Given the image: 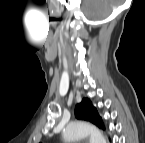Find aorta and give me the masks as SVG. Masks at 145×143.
Here are the masks:
<instances>
[{"label":"aorta","instance_id":"aorta-1","mask_svg":"<svg viewBox=\"0 0 145 143\" xmlns=\"http://www.w3.org/2000/svg\"><path fill=\"white\" fill-rule=\"evenodd\" d=\"M86 136L90 137V143H106L102 132L95 126L83 121L69 123L63 131L65 141L71 142Z\"/></svg>","mask_w":145,"mask_h":143}]
</instances>
